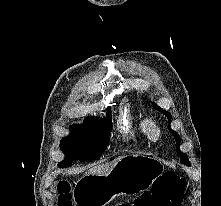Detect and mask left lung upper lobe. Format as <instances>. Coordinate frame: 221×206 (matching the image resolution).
<instances>
[{
	"label": "left lung upper lobe",
	"mask_w": 221,
	"mask_h": 206,
	"mask_svg": "<svg viewBox=\"0 0 221 206\" xmlns=\"http://www.w3.org/2000/svg\"><path fill=\"white\" fill-rule=\"evenodd\" d=\"M152 106L156 109V110H160L161 112H163L168 120H169V130H170V133L175 137L176 139V152L178 155H180V158H181V163L184 164V165H188L190 166V162L186 156V154H184L183 152L180 151L179 147H180V136L175 132L173 131L171 128H170V123H171V114L169 112H166V111H163L162 108H160L158 105H156L155 103L152 104Z\"/></svg>",
	"instance_id": "left-lung-upper-lobe-1"
}]
</instances>
